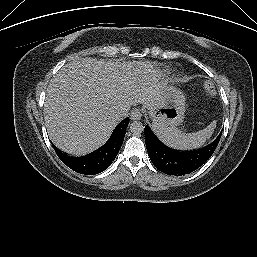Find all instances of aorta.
<instances>
[{"label":"aorta","instance_id":"762f6f07","mask_svg":"<svg viewBox=\"0 0 257 257\" xmlns=\"http://www.w3.org/2000/svg\"><path fill=\"white\" fill-rule=\"evenodd\" d=\"M130 131L135 134L139 135L144 131V125L140 121H133L130 124Z\"/></svg>","mask_w":257,"mask_h":257}]
</instances>
